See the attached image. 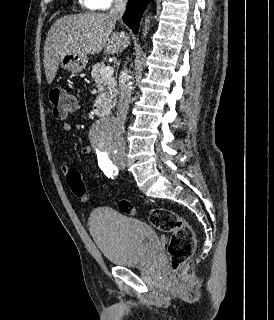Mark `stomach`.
I'll use <instances>...</instances> for the list:
<instances>
[{
  "label": "stomach",
  "mask_w": 274,
  "mask_h": 320,
  "mask_svg": "<svg viewBox=\"0 0 274 320\" xmlns=\"http://www.w3.org/2000/svg\"><path fill=\"white\" fill-rule=\"evenodd\" d=\"M87 62V56L81 58V56H75V54H66V56L62 58L60 66L61 68H64V70L73 72V74H79V72H82V70L86 68Z\"/></svg>",
  "instance_id": "0dacf381"
}]
</instances>
